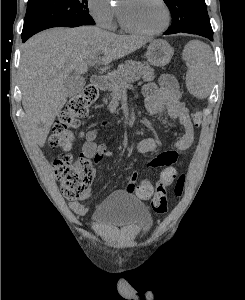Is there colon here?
Instances as JSON below:
<instances>
[{"label":"colon","mask_w":245,"mask_h":300,"mask_svg":"<svg viewBox=\"0 0 245 300\" xmlns=\"http://www.w3.org/2000/svg\"><path fill=\"white\" fill-rule=\"evenodd\" d=\"M98 91L93 85L85 86L75 94L59 114L50 137V146L54 149L68 150L75 139L74 129L80 125V119L87 115L89 107L97 99ZM201 112L194 110L192 119L196 126L201 122ZM92 160L80 157L73 161L69 155H61L54 159L53 168L61 189L69 199L79 198L92 180ZM185 186V175H180L176 181L174 193L181 196ZM136 194L142 199H151L152 209L159 214L168 210L166 189L156 190L148 181L141 182L136 188Z\"/></svg>","instance_id":"1"}]
</instances>
